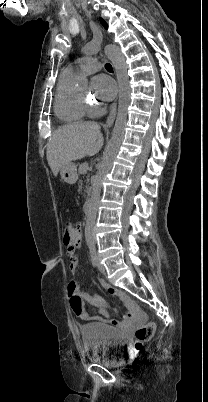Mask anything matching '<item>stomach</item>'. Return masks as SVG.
<instances>
[{"label":"stomach","mask_w":208,"mask_h":402,"mask_svg":"<svg viewBox=\"0 0 208 402\" xmlns=\"http://www.w3.org/2000/svg\"><path fill=\"white\" fill-rule=\"evenodd\" d=\"M60 176L66 184H75L78 180L77 168L73 162L65 164L60 170Z\"/></svg>","instance_id":"0dacf381"}]
</instances>
